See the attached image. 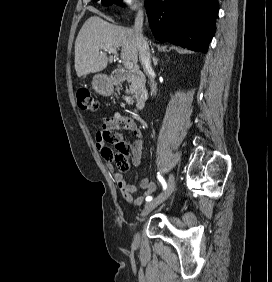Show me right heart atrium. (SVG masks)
Segmentation results:
<instances>
[{
  "instance_id": "obj_1",
  "label": "right heart atrium",
  "mask_w": 272,
  "mask_h": 282,
  "mask_svg": "<svg viewBox=\"0 0 272 282\" xmlns=\"http://www.w3.org/2000/svg\"><path fill=\"white\" fill-rule=\"evenodd\" d=\"M143 0H120V5L126 11L136 10L142 7Z\"/></svg>"
}]
</instances>
